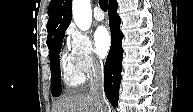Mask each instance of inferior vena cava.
Wrapping results in <instances>:
<instances>
[{
    "label": "inferior vena cava",
    "instance_id": "602c4592",
    "mask_svg": "<svg viewBox=\"0 0 193 112\" xmlns=\"http://www.w3.org/2000/svg\"><path fill=\"white\" fill-rule=\"evenodd\" d=\"M90 93L103 99V65L101 62H95L92 67V79L90 82ZM107 112V110H103Z\"/></svg>",
    "mask_w": 193,
    "mask_h": 112
}]
</instances>
